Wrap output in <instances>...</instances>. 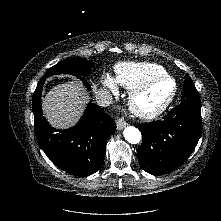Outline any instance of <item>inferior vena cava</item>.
Instances as JSON below:
<instances>
[{
  "label": "inferior vena cava",
  "instance_id": "1",
  "mask_svg": "<svg viewBox=\"0 0 221 221\" xmlns=\"http://www.w3.org/2000/svg\"><path fill=\"white\" fill-rule=\"evenodd\" d=\"M112 100V95L107 89H101L96 93V103L101 107L109 106Z\"/></svg>",
  "mask_w": 221,
  "mask_h": 221
}]
</instances>
